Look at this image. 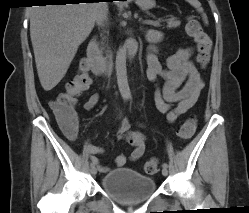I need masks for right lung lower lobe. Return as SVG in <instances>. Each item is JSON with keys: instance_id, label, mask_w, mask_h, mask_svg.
I'll list each match as a JSON object with an SVG mask.
<instances>
[{"instance_id": "1", "label": "right lung lower lobe", "mask_w": 249, "mask_h": 213, "mask_svg": "<svg viewBox=\"0 0 249 213\" xmlns=\"http://www.w3.org/2000/svg\"><path fill=\"white\" fill-rule=\"evenodd\" d=\"M44 2L42 3H54V4H66V3H78L84 0H43ZM85 1H94V0H85ZM102 1H113V0H102ZM93 3V2H92Z\"/></svg>"}]
</instances>
